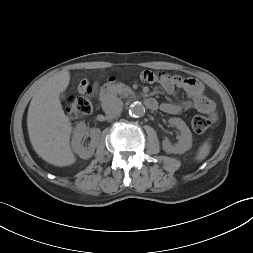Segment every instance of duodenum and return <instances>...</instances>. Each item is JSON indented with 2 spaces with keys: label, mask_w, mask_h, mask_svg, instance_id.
<instances>
[{
  "label": "duodenum",
  "mask_w": 253,
  "mask_h": 253,
  "mask_svg": "<svg viewBox=\"0 0 253 253\" xmlns=\"http://www.w3.org/2000/svg\"><path fill=\"white\" fill-rule=\"evenodd\" d=\"M117 87V82L114 79H111L109 83L102 89L100 93V98L102 102L107 101L111 94ZM145 106L150 110H156L158 108V102L154 98H145L143 100Z\"/></svg>",
  "instance_id": "duodenum-1"
}]
</instances>
